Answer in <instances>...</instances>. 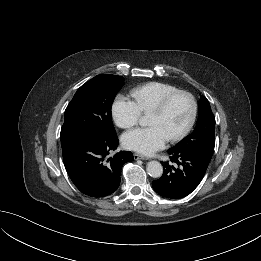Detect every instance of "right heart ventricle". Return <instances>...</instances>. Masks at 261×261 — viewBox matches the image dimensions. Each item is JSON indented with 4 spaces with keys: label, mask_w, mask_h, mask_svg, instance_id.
<instances>
[{
    "label": "right heart ventricle",
    "mask_w": 261,
    "mask_h": 261,
    "mask_svg": "<svg viewBox=\"0 0 261 261\" xmlns=\"http://www.w3.org/2000/svg\"><path fill=\"white\" fill-rule=\"evenodd\" d=\"M179 91L171 84L163 82H149L133 90L132 94L142 113H150L167 96Z\"/></svg>",
    "instance_id": "right-heart-ventricle-1"
}]
</instances>
